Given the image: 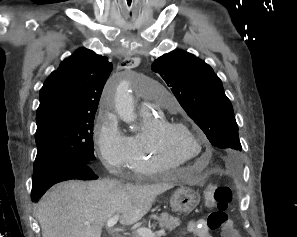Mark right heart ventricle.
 Masks as SVG:
<instances>
[{
  "instance_id": "right-heart-ventricle-1",
  "label": "right heart ventricle",
  "mask_w": 297,
  "mask_h": 237,
  "mask_svg": "<svg viewBox=\"0 0 297 237\" xmlns=\"http://www.w3.org/2000/svg\"><path fill=\"white\" fill-rule=\"evenodd\" d=\"M144 127L141 132L129 137L128 168L140 176H151L174 171L181 163L161 157L151 141L153 128L164 118L150 112H142Z\"/></svg>"
}]
</instances>
